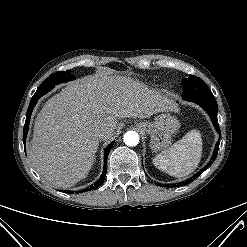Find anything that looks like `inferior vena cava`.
<instances>
[{"mask_svg": "<svg viewBox=\"0 0 247 247\" xmlns=\"http://www.w3.org/2000/svg\"><path fill=\"white\" fill-rule=\"evenodd\" d=\"M106 134V130L104 128H96L94 130V135L97 137V138H103Z\"/></svg>", "mask_w": 247, "mask_h": 247, "instance_id": "obj_1", "label": "inferior vena cava"}]
</instances>
